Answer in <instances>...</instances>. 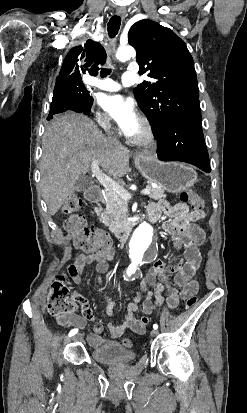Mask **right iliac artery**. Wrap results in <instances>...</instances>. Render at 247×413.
I'll list each match as a JSON object with an SVG mask.
<instances>
[{
    "mask_svg": "<svg viewBox=\"0 0 247 413\" xmlns=\"http://www.w3.org/2000/svg\"><path fill=\"white\" fill-rule=\"evenodd\" d=\"M77 332H78V329H77V328L72 329V330L69 332V337L75 335Z\"/></svg>",
    "mask_w": 247,
    "mask_h": 413,
    "instance_id": "right-iliac-artery-1",
    "label": "right iliac artery"
}]
</instances>
